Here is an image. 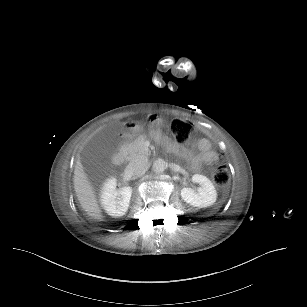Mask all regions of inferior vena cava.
Here are the masks:
<instances>
[{
  "label": "inferior vena cava",
  "instance_id": "602c4592",
  "mask_svg": "<svg viewBox=\"0 0 307 307\" xmlns=\"http://www.w3.org/2000/svg\"><path fill=\"white\" fill-rule=\"evenodd\" d=\"M145 171V158L142 156H136L133 158L125 168L127 174L140 176Z\"/></svg>",
  "mask_w": 307,
  "mask_h": 307
}]
</instances>
